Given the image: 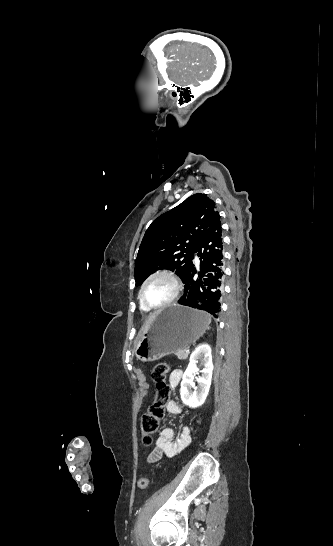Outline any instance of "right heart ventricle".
<instances>
[{
	"label": "right heart ventricle",
	"instance_id": "1",
	"mask_svg": "<svg viewBox=\"0 0 333 546\" xmlns=\"http://www.w3.org/2000/svg\"><path fill=\"white\" fill-rule=\"evenodd\" d=\"M140 308H141L143 311H149V310H150L149 308L145 307V306L141 303V301H140Z\"/></svg>",
	"mask_w": 333,
	"mask_h": 546
}]
</instances>
